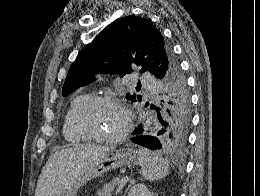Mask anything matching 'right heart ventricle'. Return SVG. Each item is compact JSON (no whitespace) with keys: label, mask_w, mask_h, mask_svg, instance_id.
<instances>
[{"label":"right heart ventricle","mask_w":260,"mask_h":196,"mask_svg":"<svg viewBox=\"0 0 260 196\" xmlns=\"http://www.w3.org/2000/svg\"><path fill=\"white\" fill-rule=\"evenodd\" d=\"M92 98V93L81 92L76 96L65 116L63 135L65 140L71 145H77L87 140V138L79 131L76 124V118L81 108Z\"/></svg>","instance_id":"obj_1"}]
</instances>
